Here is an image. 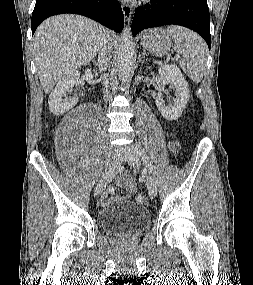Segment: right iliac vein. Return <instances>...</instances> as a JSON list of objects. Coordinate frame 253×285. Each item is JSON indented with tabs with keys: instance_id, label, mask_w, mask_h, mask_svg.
I'll return each instance as SVG.
<instances>
[{
	"instance_id": "1",
	"label": "right iliac vein",
	"mask_w": 253,
	"mask_h": 285,
	"mask_svg": "<svg viewBox=\"0 0 253 285\" xmlns=\"http://www.w3.org/2000/svg\"><path fill=\"white\" fill-rule=\"evenodd\" d=\"M121 161H122V153H119L118 155L114 156L106 174L100 179V181L95 187L94 190L95 196L99 195L107 186V184L112 180L113 176L115 175V173L117 172L118 168L121 165Z\"/></svg>"
}]
</instances>
